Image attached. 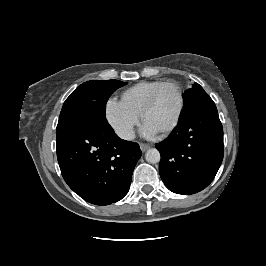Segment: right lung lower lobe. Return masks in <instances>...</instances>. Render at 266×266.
I'll return each mask as SVG.
<instances>
[{"instance_id":"98d812e1","label":"right lung lower lobe","mask_w":266,"mask_h":266,"mask_svg":"<svg viewBox=\"0 0 266 266\" xmlns=\"http://www.w3.org/2000/svg\"><path fill=\"white\" fill-rule=\"evenodd\" d=\"M56 151L65 182L95 205L115 203L127 194L142 154L137 143L120 139L107 121L77 129L56 144Z\"/></svg>"}]
</instances>
